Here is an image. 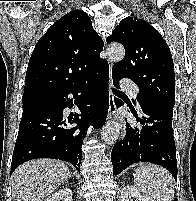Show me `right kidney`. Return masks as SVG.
I'll return each mask as SVG.
<instances>
[{
  "label": "right kidney",
  "instance_id": "obj_1",
  "mask_svg": "<svg viewBox=\"0 0 196 201\" xmlns=\"http://www.w3.org/2000/svg\"><path fill=\"white\" fill-rule=\"evenodd\" d=\"M72 191L69 188L58 190L45 201H72Z\"/></svg>",
  "mask_w": 196,
  "mask_h": 201
}]
</instances>
